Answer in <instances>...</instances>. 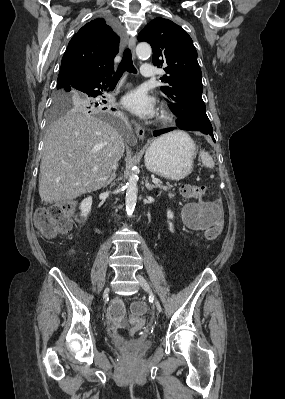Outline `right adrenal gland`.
Wrapping results in <instances>:
<instances>
[{
    "label": "right adrenal gland",
    "mask_w": 285,
    "mask_h": 399,
    "mask_svg": "<svg viewBox=\"0 0 285 399\" xmlns=\"http://www.w3.org/2000/svg\"><path fill=\"white\" fill-rule=\"evenodd\" d=\"M115 178V173H113L110 177V179L108 180V184L111 183Z\"/></svg>",
    "instance_id": "1"
}]
</instances>
